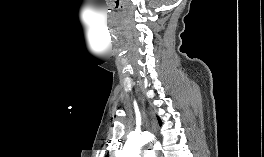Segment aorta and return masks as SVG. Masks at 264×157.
<instances>
[{
    "label": "aorta",
    "instance_id": "1",
    "mask_svg": "<svg viewBox=\"0 0 264 157\" xmlns=\"http://www.w3.org/2000/svg\"><path fill=\"white\" fill-rule=\"evenodd\" d=\"M153 137L147 133L134 134L129 137L122 150L116 153V157H140L141 148L150 142ZM155 147H161L159 143Z\"/></svg>",
    "mask_w": 264,
    "mask_h": 157
}]
</instances>
